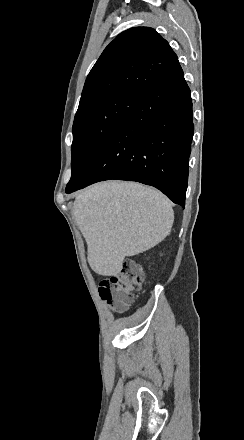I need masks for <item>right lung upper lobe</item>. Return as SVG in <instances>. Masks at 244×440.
I'll return each mask as SVG.
<instances>
[{"label": "right lung upper lobe", "instance_id": "cb5924a9", "mask_svg": "<svg viewBox=\"0 0 244 440\" xmlns=\"http://www.w3.org/2000/svg\"><path fill=\"white\" fill-rule=\"evenodd\" d=\"M180 68L168 42L154 29H128L105 48L93 66L80 104L107 100L119 94L142 97Z\"/></svg>", "mask_w": 244, "mask_h": 440}]
</instances>
